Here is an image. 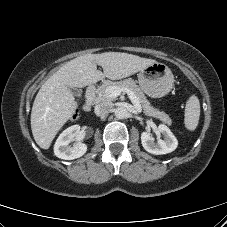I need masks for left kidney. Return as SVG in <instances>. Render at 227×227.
I'll return each mask as SVG.
<instances>
[{
  "instance_id": "left-kidney-1",
  "label": "left kidney",
  "mask_w": 227,
  "mask_h": 227,
  "mask_svg": "<svg viewBox=\"0 0 227 227\" xmlns=\"http://www.w3.org/2000/svg\"><path fill=\"white\" fill-rule=\"evenodd\" d=\"M159 133L163 135V139L154 140L150 132L141 134V143L143 148L154 155L167 154L177 148L178 141L171 130L166 125L158 126Z\"/></svg>"
}]
</instances>
